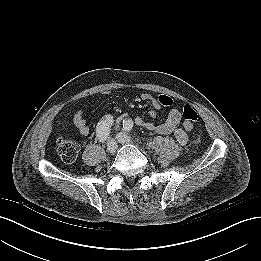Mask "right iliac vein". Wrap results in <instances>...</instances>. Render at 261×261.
Masks as SVG:
<instances>
[{"label":"right iliac vein","instance_id":"63e3f726","mask_svg":"<svg viewBox=\"0 0 261 261\" xmlns=\"http://www.w3.org/2000/svg\"><path fill=\"white\" fill-rule=\"evenodd\" d=\"M117 149V143L114 139H109L107 142V151L109 153H114Z\"/></svg>","mask_w":261,"mask_h":261}]
</instances>
